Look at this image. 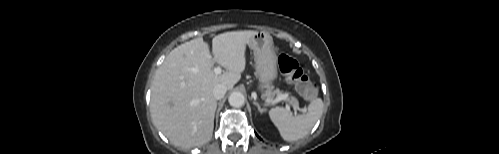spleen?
Here are the masks:
<instances>
[{"instance_id":"obj_1","label":"spleen","mask_w":499,"mask_h":154,"mask_svg":"<svg viewBox=\"0 0 499 154\" xmlns=\"http://www.w3.org/2000/svg\"><path fill=\"white\" fill-rule=\"evenodd\" d=\"M323 108L322 99L317 98L308 105L307 112L301 115H293L283 107L272 108L268 114L281 137L285 141L293 142L305 137L311 131L321 117Z\"/></svg>"}]
</instances>
